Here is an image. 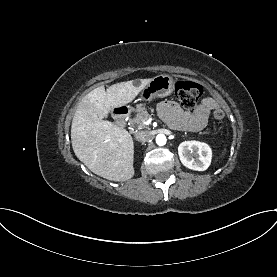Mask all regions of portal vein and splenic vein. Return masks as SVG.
<instances>
[{"label": "portal vein and splenic vein", "instance_id": "obj_1", "mask_svg": "<svg viewBox=\"0 0 277 277\" xmlns=\"http://www.w3.org/2000/svg\"><path fill=\"white\" fill-rule=\"evenodd\" d=\"M150 121H151V120H150V119H148V120H146V121H145V123H144V124H146V125H147V124H149V123H150Z\"/></svg>", "mask_w": 277, "mask_h": 277}]
</instances>
